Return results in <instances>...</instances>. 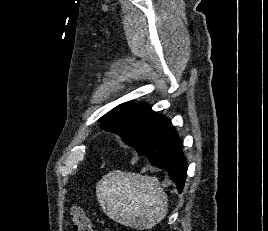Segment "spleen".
Instances as JSON below:
<instances>
[{"instance_id": "3e777b00", "label": "spleen", "mask_w": 268, "mask_h": 231, "mask_svg": "<svg viewBox=\"0 0 268 231\" xmlns=\"http://www.w3.org/2000/svg\"><path fill=\"white\" fill-rule=\"evenodd\" d=\"M96 188L103 211L122 225L151 228L167 214L168 199L155 176L116 170L103 176Z\"/></svg>"}]
</instances>
